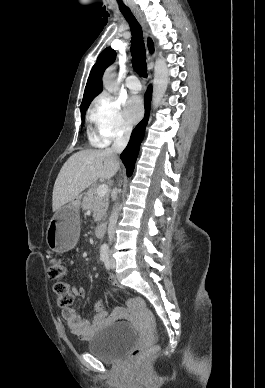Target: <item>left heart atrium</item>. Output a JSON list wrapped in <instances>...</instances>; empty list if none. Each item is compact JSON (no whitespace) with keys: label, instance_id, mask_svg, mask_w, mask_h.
Wrapping results in <instances>:
<instances>
[{"label":"left heart atrium","instance_id":"1","mask_svg":"<svg viewBox=\"0 0 265 388\" xmlns=\"http://www.w3.org/2000/svg\"><path fill=\"white\" fill-rule=\"evenodd\" d=\"M143 107L138 95H132L125 103V115L131 122H136L142 116Z\"/></svg>","mask_w":265,"mask_h":388}]
</instances>
